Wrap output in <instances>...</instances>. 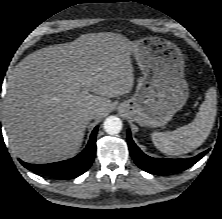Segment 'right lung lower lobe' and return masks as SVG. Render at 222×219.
<instances>
[{"instance_id": "1", "label": "right lung lower lobe", "mask_w": 222, "mask_h": 219, "mask_svg": "<svg viewBox=\"0 0 222 219\" xmlns=\"http://www.w3.org/2000/svg\"><path fill=\"white\" fill-rule=\"evenodd\" d=\"M98 126L94 128L86 148L76 157L69 160L49 164H29L20 160L21 164L37 174L56 179L75 178L85 173L91 166L96 155V134Z\"/></svg>"}]
</instances>
